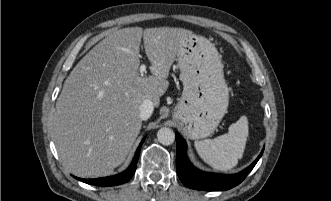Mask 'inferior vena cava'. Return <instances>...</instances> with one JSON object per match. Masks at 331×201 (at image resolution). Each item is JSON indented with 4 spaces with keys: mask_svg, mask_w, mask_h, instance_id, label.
Masks as SVG:
<instances>
[{
    "mask_svg": "<svg viewBox=\"0 0 331 201\" xmlns=\"http://www.w3.org/2000/svg\"><path fill=\"white\" fill-rule=\"evenodd\" d=\"M154 109V104L151 100H144L140 106V118L142 120H147Z\"/></svg>",
    "mask_w": 331,
    "mask_h": 201,
    "instance_id": "602c4592",
    "label": "inferior vena cava"
}]
</instances>
